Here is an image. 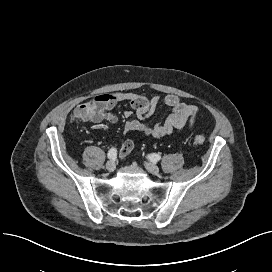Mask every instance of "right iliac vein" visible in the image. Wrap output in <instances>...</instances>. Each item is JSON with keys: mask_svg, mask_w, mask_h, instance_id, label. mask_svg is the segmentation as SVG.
<instances>
[{"mask_svg": "<svg viewBox=\"0 0 272 272\" xmlns=\"http://www.w3.org/2000/svg\"><path fill=\"white\" fill-rule=\"evenodd\" d=\"M115 163H114V161H112V160H110V161H108L107 163H106V170L108 171V172H113L114 170H115Z\"/></svg>", "mask_w": 272, "mask_h": 272, "instance_id": "63e3f726", "label": "right iliac vein"}]
</instances>
